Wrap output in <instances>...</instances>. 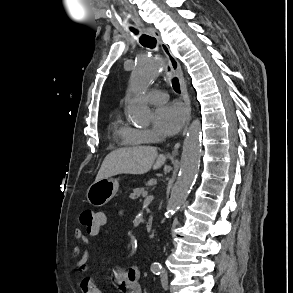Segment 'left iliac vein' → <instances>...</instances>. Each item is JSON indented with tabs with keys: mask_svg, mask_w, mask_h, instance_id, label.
I'll return each mask as SVG.
<instances>
[{
	"mask_svg": "<svg viewBox=\"0 0 293 293\" xmlns=\"http://www.w3.org/2000/svg\"><path fill=\"white\" fill-rule=\"evenodd\" d=\"M161 284H162V287L167 290L168 289V281H167V276L166 275H163L161 277Z\"/></svg>",
	"mask_w": 293,
	"mask_h": 293,
	"instance_id": "obj_1",
	"label": "left iliac vein"
}]
</instances>
